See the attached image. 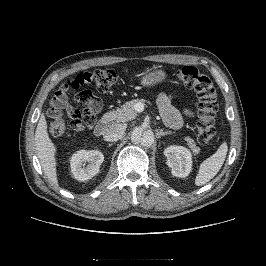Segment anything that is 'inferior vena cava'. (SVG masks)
<instances>
[{
  "instance_id": "obj_1",
  "label": "inferior vena cava",
  "mask_w": 266,
  "mask_h": 266,
  "mask_svg": "<svg viewBox=\"0 0 266 266\" xmlns=\"http://www.w3.org/2000/svg\"><path fill=\"white\" fill-rule=\"evenodd\" d=\"M124 132H125L124 125L111 124L105 129L103 137L104 140L106 141L115 142L122 138Z\"/></svg>"
}]
</instances>
